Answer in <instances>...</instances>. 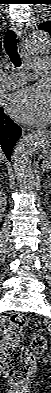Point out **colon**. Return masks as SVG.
Returning <instances> with one entry per match:
<instances>
[{
  "label": "colon",
  "mask_w": 51,
  "mask_h": 393,
  "mask_svg": "<svg viewBox=\"0 0 51 393\" xmlns=\"http://www.w3.org/2000/svg\"><path fill=\"white\" fill-rule=\"evenodd\" d=\"M27 325L28 320L24 315H11L4 332V342L1 345L2 368L16 383L27 381L35 365L33 354L20 344L22 332ZM30 347L33 352L41 354L47 348L46 339L41 335H35L30 339Z\"/></svg>",
  "instance_id": "1"
}]
</instances>
